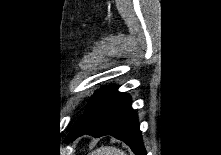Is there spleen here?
Segmentation results:
<instances>
[{
  "mask_svg": "<svg viewBox=\"0 0 221 155\" xmlns=\"http://www.w3.org/2000/svg\"><path fill=\"white\" fill-rule=\"evenodd\" d=\"M91 155H126L124 151L113 146H105L92 152Z\"/></svg>",
  "mask_w": 221,
  "mask_h": 155,
  "instance_id": "obj_1",
  "label": "spleen"
}]
</instances>
